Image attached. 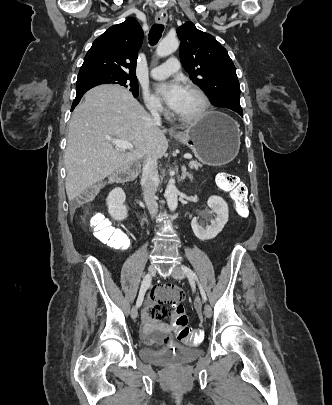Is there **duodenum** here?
I'll use <instances>...</instances> for the list:
<instances>
[{
    "label": "duodenum",
    "instance_id": "duodenum-1",
    "mask_svg": "<svg viewBox=\"0 0 332 405\" xmlns=\"http://www.w3.org/2000/svg\"><path fill=\"white\" fill-rule=\"evenodd\" d=\"M135 176L134 170H129L127 172H123L119 175L118 181L121 183L129 182L131 181Z\"/></svg>",
    "mask_w": 332,
    "mask_h": 405
}]
</instances>
